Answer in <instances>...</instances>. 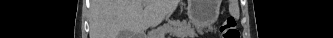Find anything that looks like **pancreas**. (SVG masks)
I'll use <instances>...</instances> for the list:
<instances>
[{"instance_id": "pancreas-1", "label": "pancreas", "mask_w": 333, "mask_h": 38, "mask_svg": "<svg viewBox=\"0 0 333 38\" xmlns=\"http://www.w3.org/2000/svg\"><path fill=\"white\" fill-rule=\"evenodd\" d=\"M164 31H165V28H162L161 30H156L151 35L160 36ZM167 31H171L175 35H183V34H188L191 31V28L189 26H187L186 23H181L179 25L168 26Z\"/></svg>"}]
</instances>
